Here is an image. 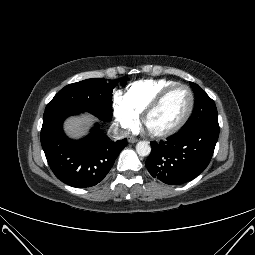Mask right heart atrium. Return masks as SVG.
Listing matches in <instances>:
<instances>
[{
	"label": "right heart atrium",
	"mask_w": 255,
	"mask_h": 255,
	"mask_svg": "<svg viewBox=\"0 0 255 255\" xmlns=\"http://www.w3.org/2000/svg\"><path fill=\"white\" fill-rule=\"evenodd\" d=\"M112 109L115 121L124 131H131L137 127L139 115L124 102L122 97L115 98Z\"/></svg>",
	"instance_id": "1"
}]
</instances>
